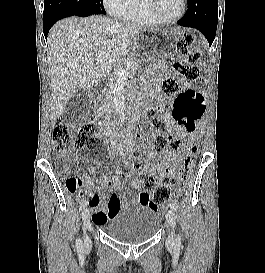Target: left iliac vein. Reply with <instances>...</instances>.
<instances>
[{
	"mask_svg": "<svg viewBox=\"0 0 265 273\" xmlns=\"http://www.w3.org/2000/svg\"><path fill=\"white\" fill-rule=\"evenodd\" d=\"M167 223L171 229L170 235L167 239V247L173 248L174 246V228L176 225V215L173 210H169L166 215Z\"/></svg>",
	"mask_w": 265,
	"mask_h": 273,
	"instance_id": "1",
	"label": "left iliac vein"
}]
</instances>
